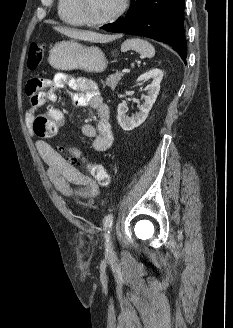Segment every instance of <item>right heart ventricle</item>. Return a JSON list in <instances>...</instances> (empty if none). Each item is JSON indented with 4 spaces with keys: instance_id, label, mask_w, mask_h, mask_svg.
<instances>
[{
    "instance_id": "obj_1",
    "label": "right heart ventricle",
    "mask_w": 233,
    "mask_h": 328,
    "mask_svg": "<svg viewBox=\"0 0 233 328\" xmlns=\"http://www.w3.org/2000/svg\"><path fill=\"white\" fill-rule=\"evenodd\" d=\"M58 14L60 19L72 26H82L85 22L76 8V0H59Z\"/></svg>"
}]
</instances>
